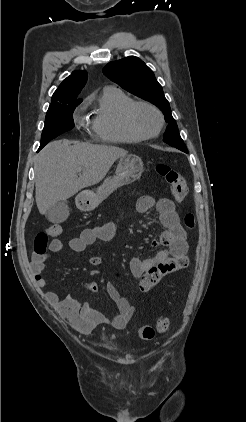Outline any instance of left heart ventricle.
Instances as JSON below:
<instances>
[{"instance_id": "1", "label": "left heart ventricle", "mask_w": 246, "mask_h": 422, "mask_svg": "<svg viewBox=\"0 0 246 422\" xmlns=\"http://www.w3.org/2000/svg\"><path fill=\"white\" fill-rule=\"evenodd\" d=\"M135 122L143 132L152 133L159 125V118L153 110L139 107L135 113Z\"/></svg>"}]
</instances>
